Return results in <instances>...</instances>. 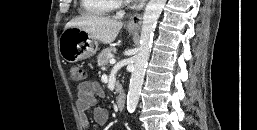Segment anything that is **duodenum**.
Here are the masks:
<instances>
[{
	"mask_svg": "<svg viewBox=\"0 0 257 130\" xmlns=\"http://www.w3.org/2000/svg\"><path fill=\"white\" fill-rule=\"evenodd\" d=\"M117 108L119 111H123L126 104V97L124 93H119L116 99Z\"/></svg>",
	"mask_w": 257,
	"mask_h": 130,
	"instance_id": "duodenum-1",
	"label": "duodenum"
}]
</instances>
